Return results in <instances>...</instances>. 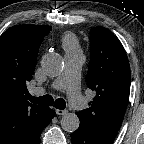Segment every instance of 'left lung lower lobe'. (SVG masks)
Returning <instances> with one entry per match:
<instances>
[{
    "label": "left lung lower lobe",
    "instance_id": "1",
    "mask_svg": "<svg viewBox=\"0 0 144 144\" xmlns=\"http://www.w3.org/2000/svg\"><path fill=\"white\" fill-rule=\"evenodd\" d=\"M72 144H113L115 137L100 134L80 121L79 128L71 134Z\"/></svg>",
    "mask_w": 144,
    "mask_h": 144
}]
</instances>
